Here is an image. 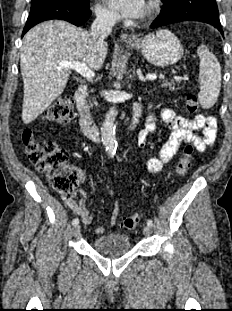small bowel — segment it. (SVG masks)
<instances>
[{
  "instance_id": "obj_1",
  "label": "small bowel",
  "mask_w": 232,
  "mask_h": 311,
  "mask_svg": "<svg viewBox=\"0 0 232 311\" xmlns=\"http://www.w3.org/2000/svg\"><path fill=\"white\" fill-rule=\"evenodd\" d=\"M160 117L163 123L172 130V133L159 153L149 159L147 169L151 174L162 172L171 161L172 157L177 153L182 143L192 142L199 152H204L216 140L217 121L214 117L197 115L193 118H188L176 114L175 111L170 108H162ZM198 129L202 130V137L195 134V131ZM156 131L157 124L151 107L147 114L144 128L141 129L136 136V143L140 147L146 148L149 135ZM78 176L80 182L83 183L85 181L84 174L79 172ZM79 195V203H77L73 197L62 196V200L69 209L82 219L84 224H90L93 217L88 211L87 202L83 193L80 192ZM117 215L118 205L115 204L111 213V224L115 223ZM104 231L103 227L95 228V233L98 235L103 234Z\"/></svg>"
}]
</instances>
